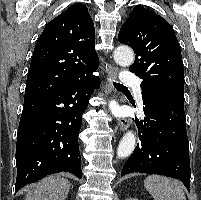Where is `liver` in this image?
I'll return each instance as SVG.
<instances>
[{
    "label": "liver",
    "mask_w": 201,
    "mask_h": 200,
    "mask_svg": "<svg viewBox=\"0 0 201 200\" xmlns=\"http://www.w3.org/2000/svg\"><path fill=\"white\" fill-rule=\"evenodd\" d=\"M69 189L70 182L67 179L59 175L49 176L28 191L25 200H65Z\"/></svg>",
    "instance_id": "6515ba94"
}]
</instances>
